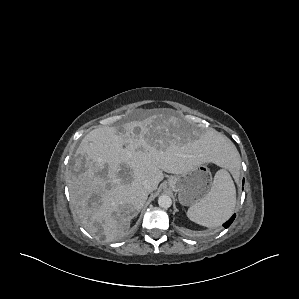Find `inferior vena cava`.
I'll use <instances>...</instances> for the list:
<instances>
[{
    "mask_svg": "<svg viewBox=\"0 0 299 299\" xmlns=\"http://www.w3.org/2000/svg\"><path fill=\"white\" fill-rule=\"evenodd\" d=\"M143 186L147 192H152V186L148 180L143 181Z\"/></svg>",
    "mask_w": 299,
    "mask_h": 299,
    "instance_id": "602c4592",
    "label": "inferior vena cava"
}]
</instances>
